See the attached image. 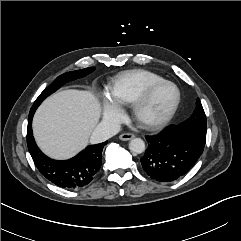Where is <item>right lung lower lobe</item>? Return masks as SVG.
Here are the masks:
<instances>
[{"mask_svg": "<svg viewBox=\"0 0 241 241\" xmlns=\"http://www.w3.org/2000/svg\"><path fill=\"white\" fill-rule=\"evenodd\" d=\"M36 108H31L27 128V146L33 161L42 175L59 187L75 189L89 184L102 163V150L106 142L88 146L75 157L57 161L47 157L35 143L32 118Z\"/></svg>", "mask_w": 241, "mask_h": 241, "instance_id": "1", "label": "right lung lower lobe"}]
</instances>
